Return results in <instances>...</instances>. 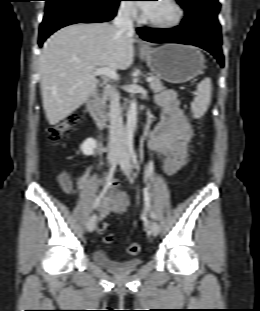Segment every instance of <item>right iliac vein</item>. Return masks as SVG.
I'll use <instances>...</instances> for the list:
<instances>
[{
	"label": "right iliac vein",
	"instance_id": "1",
	"mask_svg": "<svg viewBox=\"0 0 260 311\" xmlns=\"http://www.w3.org/2000/svg\"><path fill=\"white\" fill-rule=\"evenodd\" d=\"M120 147L118 146H112L110 148V151L108 153V162L109 164H113L118 160V154H119ZM97 218L96 215L93 214L87 221L86 228L89 232H92L96 228Z\"/></svg>",
	"mask_w": 260,
	"mask_h": 311
}]
</instances>
